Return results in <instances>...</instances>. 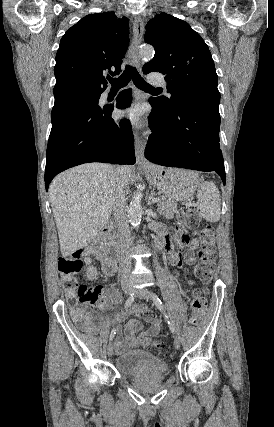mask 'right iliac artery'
I'll use <instances>...</instances> for the list:
<instances>
[{"instance_id":"1","label":"right iliac artery","mask_w":274,"mask_h":427,"mask_svg":"<svg viewBox=\"0 0 274 427\" xmlns=\"http://www.w3.org/2000/svg\"><path fill=\"white\" fill-rule=\"evenodd\" d=\"M134 299H135V293H132V294L127 298V300H126V302H125V308H126V309H127V308L132 304V302L134 301ZM115 334H116V328H113V329H112V331H111V333H110V341H112V340H113V338H114Z\"/></svg>"}]
</instances>
